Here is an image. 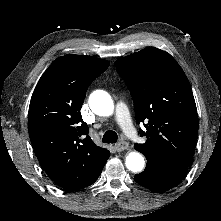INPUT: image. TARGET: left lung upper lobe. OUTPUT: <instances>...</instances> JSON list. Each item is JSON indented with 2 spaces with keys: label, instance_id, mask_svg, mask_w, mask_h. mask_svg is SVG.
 <instances>
[{
  "label": "left lung upper lobe",
  "instance_id": "1",
  "mask_svg": "<svg viewBox=\"0 0 221 221\" xmlns=\"http://www.w3.org/2000/svg\"><path fill=\"white\" fill-rule=\"evenodd\" d=\"M126 82L137 123H145L144 144H135L149 165L188 169L198 132V115L189 81L175 59L155 47L115 62Z\"/></svg>",
  "mask_w": 221,
  "mask_h": 221
}]
</instances>
